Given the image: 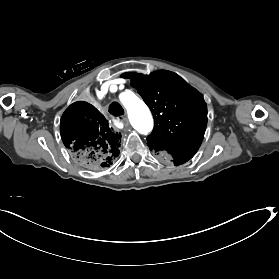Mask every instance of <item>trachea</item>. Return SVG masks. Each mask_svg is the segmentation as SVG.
<instances>
[{
  "instance_id": "trachea-1",
  "label": "trachea",
  "mask_w": 279,
  "mask_h": 279,
  "mask_svg": "<svg viewBox=\"0 0 279 279\" xmlns=\"http://www.w3.org/2000/svg\"><path fill=\"white\" fill-rule=\"evenodd\" d=\"M109 113L112 115H123L124 114V109L118 102H112L109 105Z\"/></svg>"
}]
</instances>
